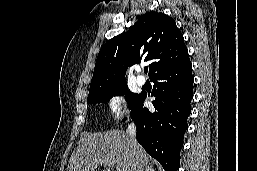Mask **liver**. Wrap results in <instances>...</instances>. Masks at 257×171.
<instances>
[{"mask_svg": "<svg viewBox=\"0 0 257 171\" xmlns=\"http://www.w3.org/2000/svg\"><path fill=\"white\" fill-rule=\"evenodd\" d=\"M132 145L128 133L112 130L105 133H82L81 141L72 153L67 171H95L101 165H111L116 171H131ZM137 154L143 168H152L144 149L137 143Z\"/></svg>", "mask_w": 257, "mask_h": 171, "instance_id": "1", "label": "liver"}]
</instances>
